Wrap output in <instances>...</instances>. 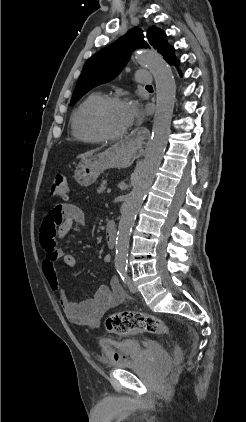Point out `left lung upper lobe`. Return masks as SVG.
I'll use <instances>...</instances> for the list:
<instances>
[{
    "label": "left lung upper lobe",
    "instance_id": "5c2ea615",
    "mask_svg": "<svg viewBox=\"0 0 246 422\" xmlns=\"http://www.w3.org/2000/svg\"><path fill=\"white\" fill-rule=\"evenodd\" d=\"M166 34L152 26L147 31L135 27L108 47L89 58L77 81L70 105H74L92 88L109 82L125 67L133 50L153 47L167 60L174 52L166 40Z\"/></svg>",
    "mask_w": 246,
    "mask_h": 422
}]
</instances>
